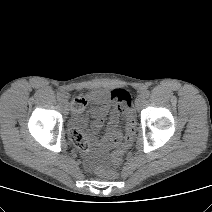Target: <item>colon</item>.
<instances>
[{
	"instance_id": "obj_1",
	"label": "colon",
	"mask_w": 212,
	"mask_h": 212,
	"mask_svg": "<svg viewBox=\"0 0 212 212\" xmlns=\"http://www.w3.org/2000/svg\"><path fill=\"white\" fill-rule=\"evenodd\" d=\"M110 97L118 105L119 110L123 114L129 110L131 106V96L129 92L124 89H114L110 92ZM73 107L76 110L82 107V104L79 99L74 102ZM122 123L127 130V135L125 142L112 155V163L114 166H117L122 162L123 155L125 151L129 148L134 133L135 121L131 116L123 115ZM71 139L78 147L82 149L86 148V144L77 139L76 137L71 136ZM97 174L104 178H115L117 176V172L115 169L104 166H101L97 169Z\"/></svg>"
}]
</instances>
